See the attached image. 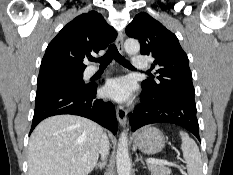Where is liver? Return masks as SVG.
I'll return each instance as SVG.
<instances>
[{"mask_svg": "<svg viewBox=\"0 0 233 175\" xmlns=\"http://www.w3.org/2000/svg\"><path fill=\"white\" fill-rule=\"evenodd\" d=\"M103 131L75 115H56L31 134L28 175H88L96 166Z\"/></svg>", "mask_w": 233, "mask_h": 175, "instance_id": "1", "label": "liver"}]
</instances>
